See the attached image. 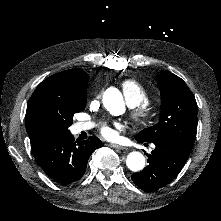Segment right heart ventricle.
<instances>
[{
    "label": "right heart ventricle",
    "instance_id": "obj_1",
    "mask_svg": "<svg viewBox=\"0 0 221 221\" xmlns=\"http://www.w3.org/2000/svg\"><path fill=\"white\" fill-rule=\"evenodd\" d=\"M151 97H152L151 93L147 91L146 89L142 88L140 96L138 98V103L147 104L150 101Z\"/></svg>",
    "mask_w": 221,
    "mask_h": 221
}]
</instances>
